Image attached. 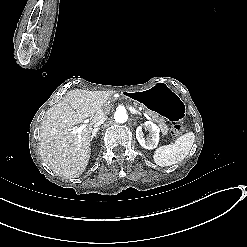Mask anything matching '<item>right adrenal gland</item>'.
I'll return each instance as SVG.
<instances>
[{
    "label": "right adrenal gland",
    "instance_id": "obj_1",
    "mask_svg": "<svg viewBox=\"0 0 247 247\" xmlns=\"http://www.w3.org/2000/svg\"><path fill=\"white\" fill-rule=\"evenodd\" d=\"M99 130H100L99 127L92 130V135H91V138H90L91 141H92V139H93L94 137H96V134H97V132H98Z\"/></svg>",
    "mask_w": 247,
    "mask_h": 247
}]
</instances>
